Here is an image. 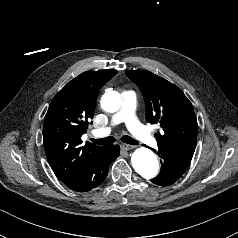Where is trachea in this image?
I'll list each match as a JSON object with an SVG mask.
<instances>
[{
    "mask_svg": "<svg viewBox=\"0 0 238 238\" xmlns=\"http://www.w3.org/2000/svg\"><path fill=\"white\" fill-rule=\"evenodd\" d=\"M91 141L95 144L98 145H108V144H112L115 141L114 137H106V138H101V139H91ZM121 141L130 145H138L139 143L134 140L133 138H131L128 135H124L121 138Z\"/></svg>",
    "mask_w": 238,
    "mask_h": 238,
    "instance_id": "trachea-1",
    "label": "trachea"
}]
</instances>
